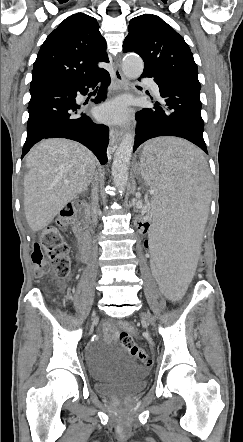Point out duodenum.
I'll return each instance as SVG.
<instances>
[{"instance_id":"duodenum-1","label":"duodenum","mask_w":243,"mask_h":442,"mask_svg":"<svg viewBox=\"0 0 243 442\" xmlns=\"http://www.w3.org/2000/svg\"><path fill=\"white\" fill-rule=\"evenodd\" d=\"M77 205V218L73 224V231L80 247V260L86 263L89 261L91 253L88 241L89 227L87 220V208L82 204Z\"/></svg>"}]
</instances>
